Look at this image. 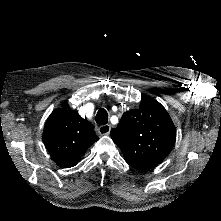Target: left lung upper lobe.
<instances>
[{
	"label": "left lung upper lobe",
	"mask_w": 221,
	"mask_h": 221,
	"mask_svg": "<svg viewBox=\"0 0 221 221\" xmlns=\"http://www.w3.org/2000/svg\"><path fill=\"white\" fill-rule=\"evenodd\" d=\"M112 140L133 168L146 171L157 166L171 150L176 128L164 107L154 98L142 100L139 109L125 112Z\"/></svg>",
	"instance_id": "5c2ea615"
}]
</instances>
